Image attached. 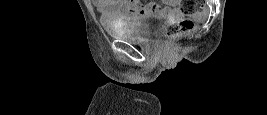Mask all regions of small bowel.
I'll return each instance as SVG.
<instances>
[{
	"label": "small bowel",
	"instance_id": "c3829d8e",
	"mask_svg": "<svg viewBox=\"0 0 267 115\" xmlns=\"http://www.w3.org/2000/svg\"><path fill=\"white\" fill-rule=\"evenodd\" d=\"M93 3L100 12H116L125 20H136L148 13L169 16L177 12V2L171 0L164 1L165 6L156 2L142 4L139 0H93Z\"/></svg>",
	"mask_w": 267,
	"mask_h": 115
}]
</instances>
